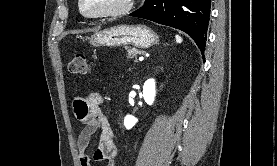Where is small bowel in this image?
<instances>
[{
    "label": "small bowel",
    "mask_w": 277,
    "mask_h": 166,
    "mask_svg": "<svg viewBox=\"0 0 277 166\" xmlns=\"http://www.w3.org/2000/svg\"><path fill=\"white\" fill-rule=\"evenodd\" d=\"M101 104L102 97L99 94L74 100V113L82 126L77 139L80 166H93V162L105 160L108 161L107 166H116L117 147L114 134ZM97 130H100L98 146L93 155H90L87 148Z\"/></svg>",
    "instance_id": "1"
}]
</instances>
